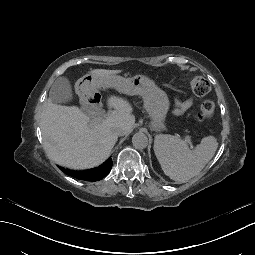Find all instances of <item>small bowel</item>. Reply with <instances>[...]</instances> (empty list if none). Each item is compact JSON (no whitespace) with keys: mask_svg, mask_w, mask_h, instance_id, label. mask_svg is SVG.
<instances>
[{"mask_svg":"<svg viewBox=\"0 0 255 255\" xmlns=\"http://www.w3.org/2000/svg\"><path fill=\"white\" fill-rule=\"evenodd\" d=\"M192 104H193L192 99L187 100V101L182 105V110H185V109L189 108L190 106H192Z\"/></svg>","mask_w":255,"mask_h":255,"instance_id":"obj_1","label":"small bowel"}]
</instances>
